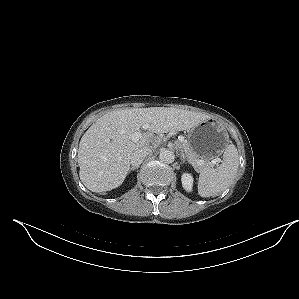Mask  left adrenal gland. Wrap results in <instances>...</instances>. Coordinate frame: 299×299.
I'll return each mask as SVG.
<instances>
[{
    "label": "left adrenal gland",
    "mask_w": 299,
    "mask_h": 299,
    "mask_svg": "<svg viewBox=\"0 0 299 299\" xmlns=\"http://www.w3.org/2000/svg\"><path fill=\"white\" fill-rule=\"evenodd\" d=\"M180 159H181L182 164H184L185 161L188 160V159H186V156H185L183 153H181V155H180ZM188 163L191 164V162H190L189 160H188Z\"/></svg>",
    "instance_id": "left-adrenal-gland-1"
}]
</instances>
